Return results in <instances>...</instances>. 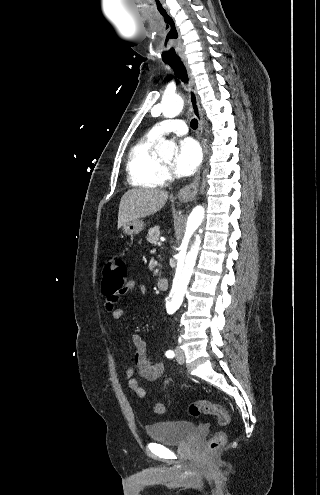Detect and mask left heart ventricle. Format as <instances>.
Listing matches in <instances>:
<instances>
[{
    "instance_id": "1",
    "label": "left heart ventricle",
    "mask_w": 320,
    "mask_h": 495,
    "mask_svg": "<svg viewBox=\"0 0 320 495\" xmlns=\"http://www.w3.org/2000/svg\"><path fill=\"white\" fill-rule=\"evenodd\" d=\"M164 162H165V163H170V162H171V158L164 159Z\"/></svg>"
}]
</instances>
